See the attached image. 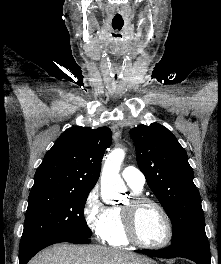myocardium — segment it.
<instances>
[{
    "instance_id": "1",
    "label": "myocardium",
    "mask_w": 221,
    "mask_h": 264,
    "mask_svg": "<svg viewBox=\"0 0 221 264\" xmlns=\"http://www.w3.org/2000/svg\"><path fill=\"white\" fill-rule=\"evenodd\" d=\"M153 205L155 206L160 213L162 214L166 226H167V235L164 241L158 244H148L143 242L137 233V227H136V217L138 210L144 206V205ZM121 215H122V222H123V228L124 233L127 238V240L139 247L145 248V249H162L169 245V243L172 241L173 238V224L172 220L170 218L169 213L164 208L162 204H160L158 201L143 196V195H133L131 199L129 200L127 205H124L121 207Z\"/></svg>"
}]
</instances>
